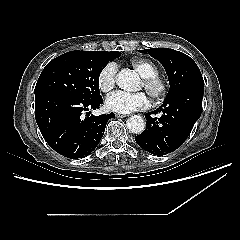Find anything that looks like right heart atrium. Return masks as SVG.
Returning a JSON list of instances; mask_svg holds the SVG:
<instances>
[{
	"instance_id": "1",
	"label": "right heart atrium",
	"mask_w": 240,
	"mask_h": 240,
	"mask_svg": "<svg viewBox=\"0 0 240 240\" xmlns=\"http://www.w3.org/2000/svg\"><path fill=\"white\" fill-rule=\"evenodd\" d=\"M117 65L115 62L106 63L99 71L97 77L98 88L102 92H109L116 83Z\"/></svg>"
}]
</instances>
